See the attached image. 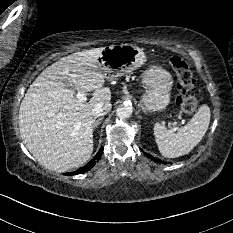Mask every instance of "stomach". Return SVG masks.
I'll list each match as a JSON object with an SVG mask.
<instances>
[{
  "instance_id": "1",
  "label": "stomach",
  "mask_w": 233,
  "mask_h": 233,
  "mask_svg": "<svg viewBox=\"0 0 233 233\" xmlns=\"http://www.w3.org/2000/svg\"><path fill=\"white\" fill-rule=\"evenodd\" d=\"M146 61L142 48L134 44H119L105 47L98 64L105 77L115 79L138 69ZM141 78L147 89L143 97L146 110L149 112L164 110L170 102L172 75L166 69L152 65L144 71Z\"/></svg>"
}]
</instances>
